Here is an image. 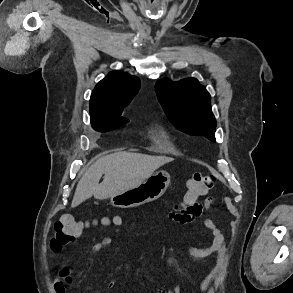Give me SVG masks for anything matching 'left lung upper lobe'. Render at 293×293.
<instances>
[{
    "label": "left lung upper lobe",
    "mask_w": 293,
    "mask_h": 293,
    "mask_svg": "<svg viewBox=\"0 0 293 293\" xmlns=\"http://www.w3.org/2000/svg\"><path fill=\"white\" fill-rule=\"evenodd\" d=\"M159 101L169 120L190 135H203L215 141L216 121L211 111L210 94L194 78L156 83Z\"/></svg>",
    "instance_id": "left-lung-upper-lobe-1"
}]
</instances>
